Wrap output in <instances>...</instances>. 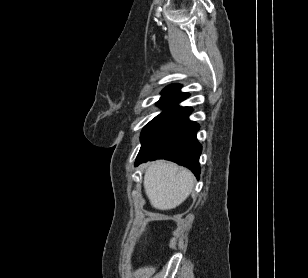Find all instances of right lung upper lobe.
Returning a JSON list of instances; mask_svg holds the SVG:
<instances>
[{
	"instance_id": "obj_1",
	"label": "right lung upper lobe",
	"mask_w": 308,
	"mask_h": 278,
	"mask_svg": "<svg viewBox=\"0 0 308 278\" xmlns=\"http://www.w3.org/2000/svg\"><path fill=\"white\" fill-rule=\"evenodd\" d=\"M180 85L174 84L170 85L167 88H165L162 92L163 96L158 101V106L166 108L165 111H163L158 116H175V117H181L187 114L190 110H192L191 107H180L178 106V103L185 100L189 94L188 93H182L180 92Z\"/></svg>"
}]
</instances>
